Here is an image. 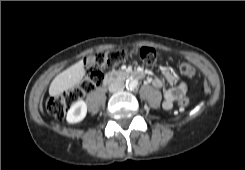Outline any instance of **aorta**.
<instances>
[{
  "instance_id": "1",
  "label": "aorta",
  "mask_w": 245,
  "mask_h": 170,
  "mask_svg": "<svg viewBox=\"0 0 245 170\" xmlns=\"http://www.w3.org/2000/svg\"><path fill=\"white\" fill-rule=\"evenodd\" d=\"M138 80L134 78H130L126 81V87L130 90H134L138 86Z\"/></svg>"
}]
</instances>
